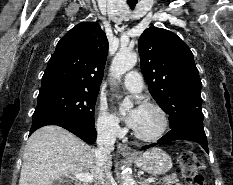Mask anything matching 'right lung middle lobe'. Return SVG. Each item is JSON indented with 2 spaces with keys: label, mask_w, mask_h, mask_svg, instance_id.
I'll use <instances>...</instances> for the list:
<instances>
[{
  "label": "right lung middle lobe",
  "mask_w": 233,
  "mask_h": 185,
  "mask_svg": "<svg viewBox=\"0 0 233 185\" xmlns=\"http://www.w3.org/2000/svg\"><path fill=\"white\" fill-rule=\"evenodd\" d=\"M97 92L54 88L42 90L33 114L37 119H64L95 127L94 108Z\"/></svg>",
  "instance_id": "right-lung-middle-lobe-1"
}]
</instances>
